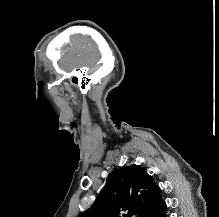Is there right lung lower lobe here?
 <instances>
[{"mask_svg":"<svg viewBox=\"0 0 219 217\" xmlns=\"http://www.w3.org/2000/svg\"><path fill=\"white\" fill-rule=\"evenodd\" d=\"M164 211L158 217H164Z\"/></svg>","mask_w":219,"mask_h":217,"instance_id":"right-lung-lower-lobe-1","label":"right lung lower lobe"}]
</instances>
